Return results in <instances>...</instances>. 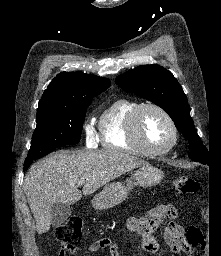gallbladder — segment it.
<instances>
[{
	"label": "gallbladder",
	"instance_id": "1",
	"mask_svg": "<svg viewBox=\"0 0 221 256\" xmlns=\"http://www.w3.org/2000/svg\"><path fill=\"white\" fill-rule=\"evenodd\" d=\"M72 208L68 204L55 203L51 209L52 225L58 227L62 225L71 215Z\"/></svg>",
	"mask_w": 221,
	"mask_h": 256
}]
</instances>
